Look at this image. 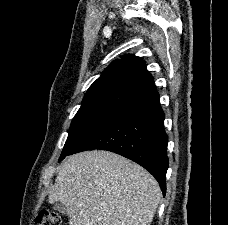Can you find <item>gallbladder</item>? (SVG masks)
I'll return each instance as SVG.
<instances>
[{
  "label": "gallbladder",
  "instance_id": "1",
  "mask_svg": "<svg viewBox=\"0 0 228 225\" xmlns=\"http://www.w3.org/2000/svg\"><path fill=\"white\" fill-rule=\"evenodd\" d=\"M53 209H55V211H60V213H67L66 207H64V205H60V203H54Z\"/></svg>",
  "mask_w": 228,
  "mask_h": 225
}]
</instances>
